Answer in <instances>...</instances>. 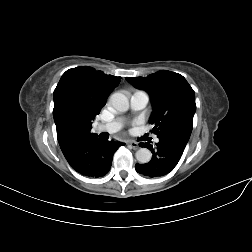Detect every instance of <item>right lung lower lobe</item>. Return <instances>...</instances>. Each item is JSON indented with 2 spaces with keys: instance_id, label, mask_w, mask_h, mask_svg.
<instances>
[{
  "instance_id": "98d812e1",
  "label": "right lung lower lobe",
  "mask_w": 252,
  "mask_h": 252,
  "mask_svg": "<svg viewBox=\"0 0 252 252\" xmlns=\"http://www.w3.org/2000/svg\"><path fill=\"white\" fill-rule=\"evenodd\" d=\"M124 143L108 141L98 136L84 138L64 154L70 166L87 177H102L111 168L115 151Z\"/></svg>"
}]
</instances>
